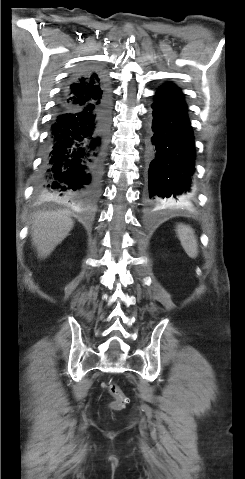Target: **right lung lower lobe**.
Returning a JSON list of instances; mask_svg holds the SVG:
<instances>
[{
  "label": "right lung lower lobe",
  "instance_id": "obj_1",
  "mask_svg": "<svg viewBox=\"0 0 245 479\" xmlns=\"http://www.w3.org/2000/svg\"><path fill=\"white\" fill-rule=\"evenodd\" d=\"M88 72H78L70 84ZM110 106L109 94L84 106L58 104L35 186L40 199L84 210L93 207L99 194Z\"/></svg>",
  "mask_w": 245,
  "mask_h": 479
}]
</instances>
